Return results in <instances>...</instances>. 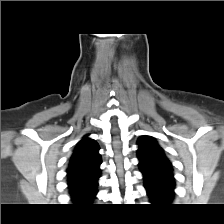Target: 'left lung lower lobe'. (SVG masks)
Listing matches in <instances>:
<instances>
[{
    "label": "left lung lower lobe",
    "instance_id": "1",
    "mask_svg": "<svg viewBox=\"0 0 224 224\" xmlns=\"http://www.w3.org/2000/svg\"><path fill=\"white\" fill-rule=\"evenodd\" d=\"M145 189L152 203L166 205L172 201L174 177L172 174L142 172Z\"/></svg>",
    "mask_w": 224,
    "mask_h": 224
}]
</instances>
